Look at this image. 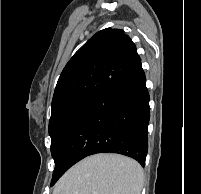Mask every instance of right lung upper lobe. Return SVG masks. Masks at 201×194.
<instances>
[{
  "instance_id": "right-lung-upper-lobe-1",
  "label": "right lung upper lobe",
  "mask_w": 201,
  "mask_h": 194,
  "mask_svg": "<svg viewBox=\"0 0 201 194\" xmlns=\"http://www.w3.org/2000/svg\"><path fill=\"white\" fill-rule=\"evenodd\" d=\"M141 65L136 46L123 30L106 28L90 38L64 67L52 108L69 99L99 95Z\"/></svg>"
}]
</instances>
